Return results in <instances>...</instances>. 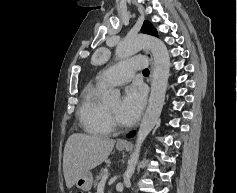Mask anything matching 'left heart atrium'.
Returning a JSON list of instances; mask_svg holds the SVG:
<instances>
[{
    "mask_svg": "<svg viewBox=\"0 0 237 193\" xmlns=\"http://www.w3.org/2000/svg\"><path fill=\"white\" fill-rule=\"evenodd\" d=\"M146 101V91L142 84L134 83L126 91L119 110V118L124 124L134 123L140 116Z\"/></svg>",
    "mask_w": 237,
    "mask_h": 193,
    "instance_id": "1",
    "label": "left heart atrium"
}]
</instances>
